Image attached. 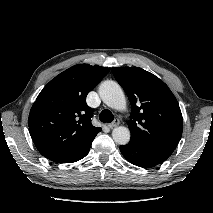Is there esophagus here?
<instances>
[{
    "mask_svg": "<svg viewBox=\"0 0 213 213\" xmlns=\"http://www.w3.org/2000/svg\"><path fill=\"white\" fill-rule=\"evenodd\" d=\"M120 124L119 119H115L112 123L108 124L109 128L117 127Z\"/></svg>",
    "mask_w": 213,
    "mask_h": 213,
    "instance_id": "34e87169",
    "label": "esophagus"
}]
</instances>
